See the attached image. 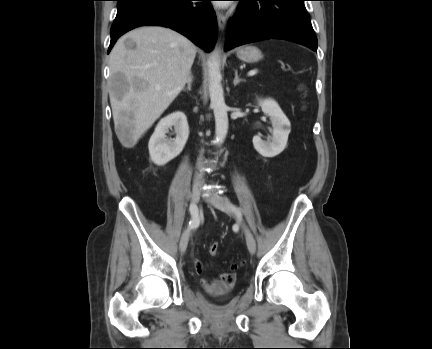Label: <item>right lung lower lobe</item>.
Instances as JSON below:
<instances>
[{"label":"right lung lower lobe","mask_w":432,"mask_h":349,"mask_svg":"<svg viewBox=\"0 0 432 349\" xmlns=\"http://www.w3.org/2000/svg\"><path fill=\"white\" fill-rule=\"evenodd\" d=\"M108 53L124 33L140 26L171 28L209 52L216 40L217 20L209 4L194 0H117ZM209 1V0H200Z\"/></svg>","instance_id":"right-lung-lower-lobe-1"}]
</instances>
